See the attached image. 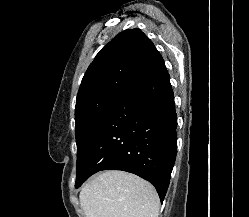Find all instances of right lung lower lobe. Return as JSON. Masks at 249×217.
<instances>
[{
    "label": "right lung lower lobe",
    "mask_w": 249,
    "mask_h": 217,
    "mask_svg": "<svg viewBox=\"0 0 249 217\" xmlns=\"http://www.w3.org/2000/svg\"><path fill=\"white\" fill-rule=\"evenodd\" d=\"M176 127L170 77L161 60L98 128L79 165L75 187L98 171L122 170L152 183L162 202L176 158Z\"/></svg>",
    "instance_id": "right-lung-lower-lobe-1"
}]
</instances>
